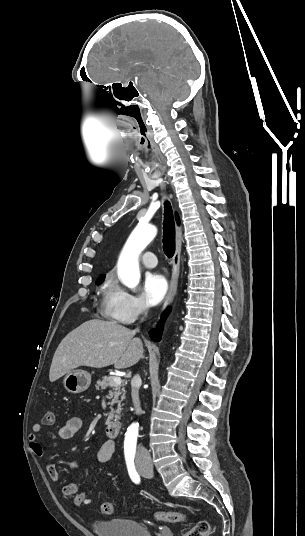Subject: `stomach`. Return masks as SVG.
I'll return each instance as SVG.
<instances>
[{
	"label": "stomach",
	"instance_id": "stomach-1",
	"mask_svg": "<svg viewBox=\"0 0 305 536\" xmlns=\"http://www.w3.org/2000/svg\"><path fill=\"white\" fill-rule=\"evenodd\" d=\"M91 384V374L85 372V370H72L69 374H66L63 380V386L67 392L71 394H80L88 390Z\"/></svg>",
	"mask_w": 305,
	"mask_h": 536
}]
</instances>
